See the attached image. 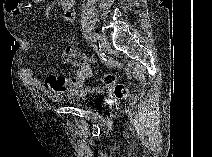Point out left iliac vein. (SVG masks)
<instances>
[{"mask_svg":"<svg viewBox=\"0 0 212 157\" xmlns=\"http://www.w3.org/2000/svg\"><path fill=\"white\" fill-rule=\"evenodd\" d=\"M96 39L99 41L100 46L103 48V50H107L109 47V43L107 38L103 34L94 33Z\"/></svg>","mask_w":212,"mask_h":157,"instance_id":"4c4485c4","label":"left iliac vein"}]
</instances>
